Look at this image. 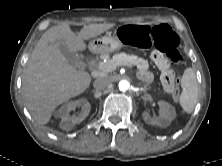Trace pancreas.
<instances>
[{
	"label": "pancreas",
	"instance_id": "pancreas-1",
	"mask_svg": "<svg viewBox=\"0 0 222 166\" xmlns=\"http://www.w3.org/2000/svg\"><path fill=\"white\" fill-rule=\"evenodd\" d=\"M117 63H127L131 66H136L137 69H139L140 71H146L149 69V64L147 60L139 58L136 55L118 53L114 55L112 59L107 58L106 62L100 63L101 71L105 74L112 72L113 70H110L109 68L111 66L117 65Z\"/></svg>",
	"mask_w": 222,
	"mask_h": 166
}]
</instances>
